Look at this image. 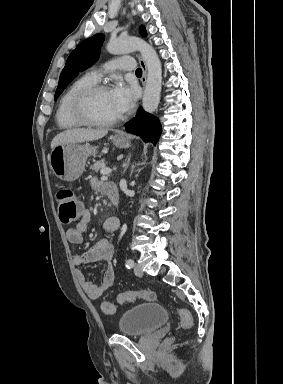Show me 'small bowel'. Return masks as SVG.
Returning a JSON list of instances; mask_svg holds the SVG:
<instances>
[{
  "label": "small bowel",
  "instance_id": "small-bowel-1",
  "mask_svg": "<svg viewBox=\"0 0 283 384\" xmlns=\"http://www.w3.org/2000/svg\"><path fill=\"white\" fill-rule=\"evenodd\" d=\"M107 183L100 180H93L92 186L96 191L103 192ZM80 220L75 227L69 228L66 231L67 240L73 244H79L83 241V234L87 230L88 224L91 220L90 211L81 208ZM120 228V220L117 217H109L103 223V230L107 234L117 232ZM115 248L107 237L98 239L93 246L87 251L75 254L73 256V263L77 267H81L98 260L106 262V268L103 273V278L99 284H95L86 278L83 272H77V278L79 283L88 295L92 299L99 298L102 293L108 290L114 282V268L112 266V260L114 258Z\"/></svg>",
  "mask_w": 283,
  "mask_h": 384
}]
</instances>
